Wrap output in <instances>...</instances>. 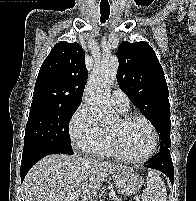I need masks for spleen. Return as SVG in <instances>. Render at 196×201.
<instances>
[{
    "mask_svg": "<svg viewBox=\"0 0 196 201\" xmlns=\"http://www.w3.org/2000/svg\"><path fill=\"white\" fill-rule=\"evenodd\" d=\"M143 201H166V187L156 171H149L147 188L142 194Z\"/></svg>",
    "mask_w": 196,
    "mask_h": 201,
    "instance_id": "1",
    "label": "spleen"
}]
</instances>
